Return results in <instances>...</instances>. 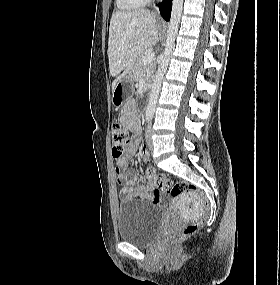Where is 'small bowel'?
<instances>
[{"instance_id": "obj_1", "label": "small bowel", "mask_w": 280, "mask_h": 285, "mask_svg": "<svg viewBox=\"0 0 280 285\" xmlns=\"http://www.w3.org/2000/svg\"><path fill=\"white\" fill-rule=\"evenodd\" d=\"M121 121L135 137L139 136L140 122L138 117H122ZM137 149L138 142H132L127 148V155L120 156L116 159L115 179L117 183L122 184V188L119 192L120 200L127 201L136 197L147 199L154 204H165L167 198L154 188V184L151 181L145 184H138L139 180L135 177H131L130 171L126 169L129 157L134 156ZM143 159H146V157H143Z\"/></svg>"}]
</instances>
